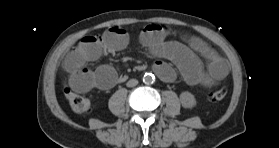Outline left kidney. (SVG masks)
<instances>
[{"label":"left kidney","instance_id":"1","mask_svg":"<svg viewBox=\"0 0 279 148\" xmlns=\"http://www.w3.org/2000/svg\"><path fill=\"white\" fill-rule=\"evenodd\" d=\"M180 102L184 108H193L197 104L195 96L188 91L180 94Z\"/></svg>","mask_w":279,"mask_h":148}]
</instances>
